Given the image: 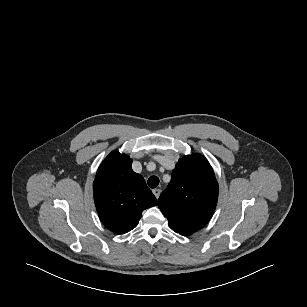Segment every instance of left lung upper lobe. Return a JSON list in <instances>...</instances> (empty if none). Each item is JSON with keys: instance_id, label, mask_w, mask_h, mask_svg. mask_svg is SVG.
<instances>
[{"instance_id": "5c2ea615", "label": "left lung upper lobe", "mask_w": 307, "mask_h": 307, "mask_svg": "<svg viewBox=\"0 0 307 307\" xmlns=\"http://www.w3.org/2000/svg\"><path fill=\"white\" fill-rule=\"evenodd\" d=\"M218 197L212 167L200 154L179 159L158 206L171 229L188 236L203 228L211 218Z\"/></svg>"}]
</instances>
